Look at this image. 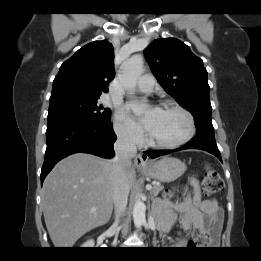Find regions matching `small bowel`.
<instances>
[{
	"label": "small bowel",
	"mask_w": 261,
	"mask_h": 261,
	"mask_svg": "<svg viewBox=\"0 0 261 261\" xmlns=\"http://www.w3.org/2000/svg\"><path fill=\"white\" fill-rule=\"evenodd\" d=\"M193 197L181 202L162 201L159 225L163 230H172L181 215L182 228L188 232H208L212 241H216L222 227L223 215L217 201L202 199L197 179L192 178Z\"/></svg>",
	"instance_id": "c3829d8e"
}]
</instances>
